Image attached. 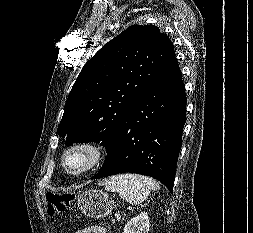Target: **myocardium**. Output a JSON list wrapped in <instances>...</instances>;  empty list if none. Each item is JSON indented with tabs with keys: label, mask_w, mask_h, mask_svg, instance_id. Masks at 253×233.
<instances>
[{
	"label": "myocardium",
	"mask_w": 253,
	"mask_h": 233,
	"mask_svg": "<svg viewBox=\"0 0 253 233\" xmlns=\"http://www.w3.org/2000/svg\"><path fill=\"white\" fill-rule=\"evenodd\" d=\"M76 154H83L85 156V162L77 168H72L68 162ZM108 154L109 149L102 142L81 141L71 144L63 151L60 163L65 174L71 177H77L92 171L108 157Z\"/></svg>",
	"instance_id": "myocardium-1"
}]
</instances>
